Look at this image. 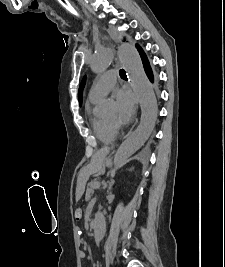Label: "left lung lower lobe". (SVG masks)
<instances>
[{"label":"left lung lower lobe","instance_id":"obj_1","mask_svg":"<svg viewBox=\"0 0 225 267\" xmlns=\"http://www.w3.org/2000/svg\"><path fill=\"white\" fill-rule=\"evenodd\" d=\"M136 48L139 51V54H140V57L142 59L143 66H144V69H145V72H146L148 78L150 79L151 82H154V75H153V72H152V69L150 67V64H149V61L147 59L146 54L144 53L143 49L138 44H136Z\"/></svg>","mask_w":225,"mask_h":267}]
</instances>
